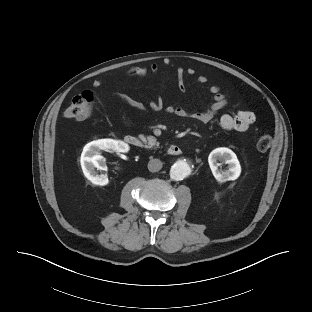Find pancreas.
<instances>
[{"label": "pancreas", "instance_id": "1", "mask_svg": "<svg viewBox=\"0 0 312 312\" xmlns=\"http://www.w3.org/2000/svg\"><path fill=\"white\" fill-rule=\"evenodd\" d=\"M141 139L143 140V142L148 144L147 147H149V148H151L153 146H156V147L159 146V143L156 141V138L153 136H150L146 139L143 135H141Z\"/></svg>", "mask_w": 312, "mask_h": 312}]
</instances>
